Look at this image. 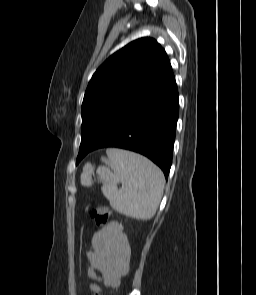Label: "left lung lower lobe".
Instances as JSON below:
<instances>
[{"mask_svg": "<svg viewBox=\"0 0 256 295\" xmlns=\"http://www.w3.org/2000/svg\"><path fill=\"white\" fill-rule=\"evenodd\" d=\"M179 114L175 78L130 111L99 142L79 153L76 164L90 151L103 147L128 149L145 155L168 178Z\"/></svg>", "mask_w": 256, "mask_h": 295, "instance_id": "obj_1", "label": "left lung lower lobe"}]
</instances>
